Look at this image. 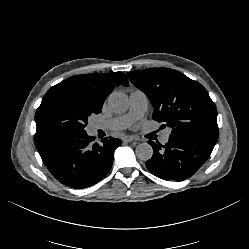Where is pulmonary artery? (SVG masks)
I'll return each mask as SVG.
<instances>
[{
    "instance_id": "pulmonary-artery-1",
    "label": "pulmonary artery",
    "mask_w": 249,
    "mask_h": 249,
    "mask_svg": "<svg viewBox=\"0 0 249 249\" xmlns=\"http://www.w3.org/2000/svg\"><path fill=\"white\" fill-rule=\"evenodd\" d=\"M148 107V97L141 90H133L130 93V108L128 113L112 118L104 122L93 123L90 134L95 135L98 129L122 130L131 126L136 120L142 118ZM170 129H166L160 136V142L166 144L169 141Z\"/></svg>"
}]
</instances>
